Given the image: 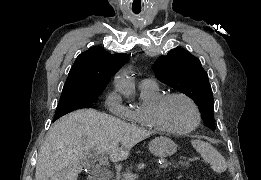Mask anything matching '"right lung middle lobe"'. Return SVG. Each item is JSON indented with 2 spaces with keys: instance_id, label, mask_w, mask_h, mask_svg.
I'll list each match as a JSON object with an SVG mask.
<instances>
[{
  "instance_id": "right-lung-middle-lobe-1",
  "label": "right lung middle lobe",
  "mask_w": 261,
  "mask_h": 180,
  "mask_svg": "<svg viewBox=\"0 0 261 180\" xmlns=\"http://www.w3.org/2000/svg\"><path fill=\"white\" fill-rule=\"evenodd\" d=\"M102 91L83 88L63 89L60 102L55 111L54 120L73 110L90 108Z\"/></svg>"
}]
</instances>
